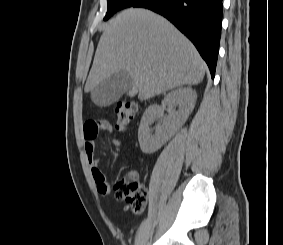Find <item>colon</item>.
<instances>
[{"instance_id": "obj_1", "label": "colon", "mask_w": 283, "mask_h": 245, "mask_svg": "<svg viewBox=\"0 0 283 245\" xmlns=\"http://www.w3.org/2000/svg\"><path fill=\"white\" fill-rule=\"evenodd\" d=\"M137 113V104L132 100L120 101L114 108L116 128L120 131L128 129L134 122ZM117 199L125 201L134 212L144 210L148 193L146 188L139 183L134 175H128L118 180L114 186Z\"/></svg>"}]
</instances>
